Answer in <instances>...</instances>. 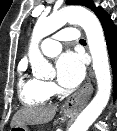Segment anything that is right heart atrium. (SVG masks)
Segmentation results:
<instances>
[{"label":"right heart atrium","instance_id":"d8ad5b80","mask_svg":"<svg viewBox=\"0 0 117 131\" xmlns=\"http://www.w3.org/2000/svg\"><path fill=\"white\" fill-rule=\"evenodd\" d=\"M47 89L50 92V94H53L56 91V86L55 84L48 82L46 83Z\"/></svg>","mask_w":117,"mask_h":131}]
</instances>
